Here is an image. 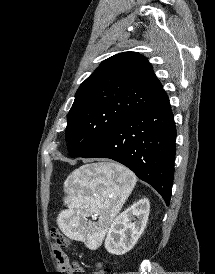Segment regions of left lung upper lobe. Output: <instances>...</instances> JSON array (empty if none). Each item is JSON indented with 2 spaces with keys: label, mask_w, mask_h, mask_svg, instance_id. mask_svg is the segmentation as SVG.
Instances as JSON below:
<instances>
[{
  "label": "left lung upper lobe",
  "mask_w": 215,
  "mask_h": 274,
  "mask_svg": "<svg viewBox=\"0 0 215 274\" xmlns=\"http://www.w3.org/2000/svg\"><path fill=\"white\" fill-rule=\"evenodd\" d=\"M164 92L151 64L139 53L123 52L103 61L81 84L68 113L70 156L86 154L122 120Z\"/></svg>",
  "instance_id": "5c2ea615"
}]
</instances>
